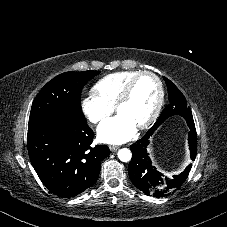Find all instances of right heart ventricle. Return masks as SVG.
I'll use <instances>...</instances> for the list:
<instances>
[{
	"label": "right heart ventricle",
	"mask_w": 227,
	"mask_h": 227,
	"mask_svg": "<svg viewBox=\"0 0 227 227\" xmlns=\"http://www.w3.org/2000/svg\"><path fill=\"white\" fill-rule=\"evenodd\" d=\"M136 73L138 71L130 70L108 74L94 85L93 92L107 105L114 107L125 85Z\"/></svg>",
	"instance_id": "obj_1"
}]
</instances>
